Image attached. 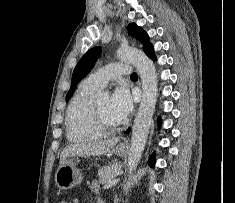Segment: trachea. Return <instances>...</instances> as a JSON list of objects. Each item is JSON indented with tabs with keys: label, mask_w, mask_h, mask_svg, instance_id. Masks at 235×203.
<instances>
[{
	"label": "trachea",
	"mask_w": 235,
	"mask_h": 203,
	"mask_svg": "<svg viewBox=\"0 0 235 203\" xmlns=\"http://www.w3.org/2000/svg\"><path fill=\"white\" fill-rule=\"evenodd\" d=\"M131 77H137V73H132Z\"/></svg>",
	"instance_id": "obj_1"
}]
</instances>
